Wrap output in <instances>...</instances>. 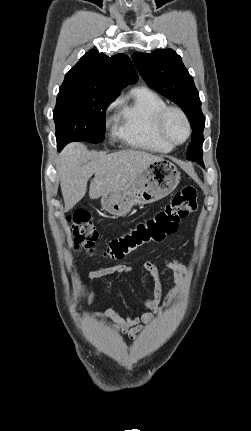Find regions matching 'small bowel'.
<instances>
[{
	"label": "small bowel",
	"mask_w": 251,
	"mask_h": 431,
	"mask_svg": "<svg viewBox=\"0 0 251 431\" xmlns=\"http://www.w3.org/2000/svg\"><path fill=\"white\" fill-rule=\"evenodd\" d=\"M165 264L175 271V285L165 297H162V284L157 266L152 261H146L144 263L145 269L150 273L155 282L152 297L141 302L142 306L148 310L147 312L143 313L141 316H137L133 313L122 316L113 309H107L93 312V315L97 318L111 321L114 329L127 335L131 339H135L139 333L143 331L144 326L150 324L154 318L169 305L180 287L182 275L187 273L184 264L176 259H165ZM132 271V266L126 263H119L91 271L89 273V279L95 280L114 274H129ZM94 298V293H91L88 297V303H92Z\"/></svg>",
	"instance_id": "small-bowel-1"
}]
</instances>
